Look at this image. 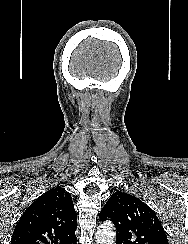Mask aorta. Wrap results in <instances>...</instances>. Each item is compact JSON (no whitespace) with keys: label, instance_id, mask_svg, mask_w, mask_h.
<instances>
[{"label":"aorta","instance_id":"obj_1","mask_svg":"<svg viewBox=\"0 0 188 244\" xmlns=\"http://www.w3.org/2000/svg\"><path fill=\"white\" fill-rule=\"evenodd\" d=\"M96 244H114L115 226L111 222L101 224L95 235Z\"/></svg>","mask_w":188,"mask_h":244}]
</instances>
